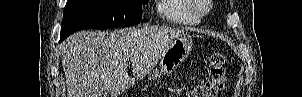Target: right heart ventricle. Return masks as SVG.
I'll list each match as a JSON object with an SVG mask.
<instances>
[{
  "label": "right heart ventricle",
  "mask_w": 302,
  "mask_h": 97,
  "mask_svg": "<svg viewBox=\"0 0 302 97\" xmlns=\"http://www.w3.org/2000/svg\"><path fill=\"white\" fill-rule=\"evenodd\" d=\"M160 17L171 24L190 26L199 23L186 0H161L157 7Z\"/></svg>",
  "instance_id": "1"
}]
</instances>
